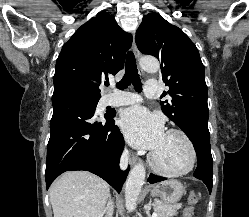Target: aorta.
Masks as SVG:
<instances>
[{"label": "aorta", "mask_w": 249, "mask_h": 217, "mask_svg": "<svg viewBox=\"0 0 249 217\" xmlns=\"http://www.w3.org/2000/svg\"><path fill=\"white\" fill-rule=\"evenodd\" d=\"M140 65L143 70L155 73L159 70V63L153 57H142ZM145 167L142 163L136 164L129 173L125 184L126 209L131 212L136 208L137 198L145 180Z\"/></svg>", "instance_id": "obj_1"}]
</instances>
